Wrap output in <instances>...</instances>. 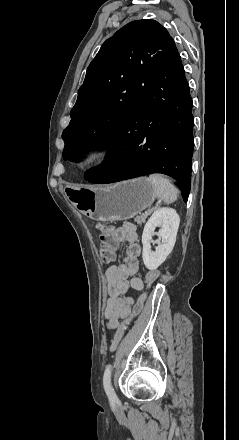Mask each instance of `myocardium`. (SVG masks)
<instances>
[{
  "mask_svg": "<svg viewBox=\"0 0 239 440\" xmlns=\"http://www.w3.org/2000/svg\"><path fill=\"white\" fill-rule=\"evenodd\" d=\"M113 147L107 141L87 145L80 155V164L86 170H94L105 164L112 156Z\"/></svg>",
  "mask_w": 239,
  "mask_h": 440,
  "instance_id": "f54148a6",
  "label": "myocardium"
}]
</instances>
